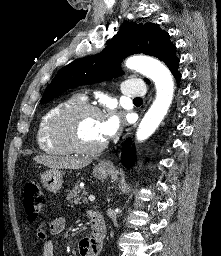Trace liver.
<instances>
[{"instance_id": "6515ba94", "label": "liver", "mask_w": 221, "mask_h": 256, "mask_svg": "<svg viewBox=\"0 0 221 256\" xmlns=\"http://www.w3.org/2000/svg\"><path fill=\"white\" fill-rule=\"evenodd\" d=\"M34 160L51 169H80L91 163L90 159L70 156L39 155Z\"/></svg>"}]
</instances>
